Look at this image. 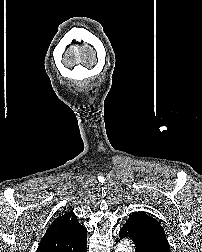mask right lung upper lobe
I'll use <instances>...</instances> for the list:
<instances>
[{
  "label": "right lung upper lobe",
  "instance_id": "obj_1",
  "mask_svg": "<svg viewBox=\"0 0 202 252\" xmlns=\"http://www.w3.org/2000/svg\"><path fill=\"white\" fill-rule=\"evenodd\" d=\"M86 238L87 230L78 222L77 216L65 212L49 226L37 252H83Z\"/></svg>",
  "mask_w": 202,
  "mask_h": 252
}]
</instances>
